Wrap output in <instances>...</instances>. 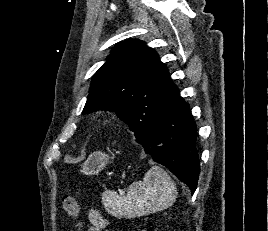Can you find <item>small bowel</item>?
Masks as SVG:
<instances>
[{"instance_id": "obj_1", "label": "small bowel", "mask_w": 268, "mask_h": 231, "mask_svg": "<svg viewBox=\"0 0 268 231\" xmlns=\"http://www.w3.org/2000/svg\"><path fill=\"white\" fill-rule=\"evenodd\" d=\"M88 217L91 222V227L88 231H101L107 224L105 217L97 209H90Z\"/></svg>"}]
</instances>
